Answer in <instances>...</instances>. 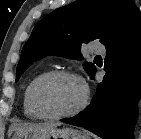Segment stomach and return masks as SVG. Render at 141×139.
<instances>
[{
  "instance_id": "1",
  "label": "stomach",
  "mask_w": 141,
  "mask_h": 139,
  "mask_svg": "<svg viewBox=\"0 0 141 139\" xmlns=\"http://www.w3.org/2000/svg\"><path fill=\"white\" fill-rule=\"evenodd\" d=\"M13 139H91L89 134L72 128H42L25 134L14 135Z\"/></svg>"
}]
</instances>
